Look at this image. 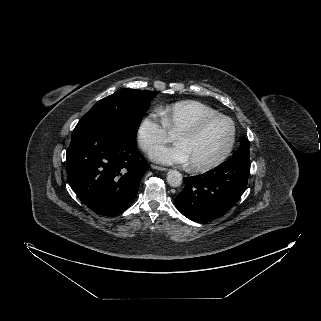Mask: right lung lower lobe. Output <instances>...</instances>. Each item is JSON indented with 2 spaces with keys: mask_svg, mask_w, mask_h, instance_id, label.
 Instances as JSON below:
<instances>
[{
  "mask_svg": "<svg viewBox=\"0 0 321 321\" xmlns=\"http://www.w3.org/2000/svg\"><path fill=\"white\" fill-rule=\"evenodd\" d=\"M66 165L78 198L95 213L109 217L133 203L148 169L135 136L124 128L73 133Z\"/></svg>",
  "mask_w": 321,
  "mask_h": 321,
  "instance_id": "98d812e1",
  "label": "right lung lower lobe"
}]
</instances>
